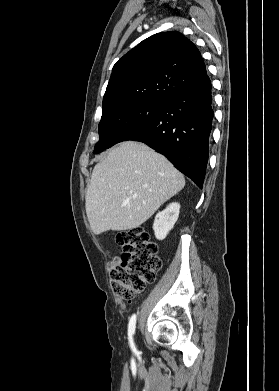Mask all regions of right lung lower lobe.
Returning a JSON list of instances; mask_svg holds the SVG:
<instances>
[{
    "label": "right lung lower lobe",
    "mask_w": 279,
    "mask_h": 391,
    "mask_svg": "<svg viewBox=\"0 0 279 391\" xmlns=\"http://www.w3.org/2000/svg\"><path fill=\"white\" fill-rule=\"evenodd\" d=\"M213 114L211 81L206 75L164 102L153 120L131 132L123 141L147 144L202 188Z\"/></svg>",
    "instance_id": "right-lung-lower-lobe-1"
}]
</instances>
